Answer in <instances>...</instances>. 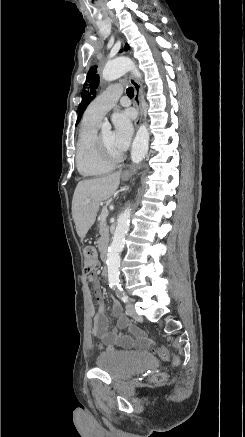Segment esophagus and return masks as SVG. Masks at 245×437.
<instances>
[{
	"mask_svg": "<svg viewBox=\"0 0 245 437\" xmlns=\"http://www.w3.org/2000/svg\"><path fill=\"white\" fill-rule=\"evenodd\" d=\"M129 82L133 86L134 89V106L137 109L138 117L135 121V127L137 128L141 122L142 118V89L140 87L139 82L133 77L129 76Z\"/></svg>",
	"mask_w": 245,
	"mask_h": 437,
	"instance_id": "1",
	"label": "esophagus"
}]
</instances>
